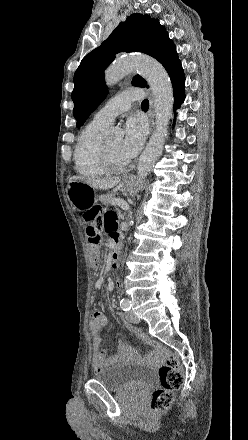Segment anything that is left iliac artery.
I'll return each instance as SVG.
<instances>
[{
  "instance_id": "obj_1",
  "label": "left iliac artery",
  "mask_w": 248,
  "mask_h": 440,
  "mask_svg": "<svg viewBox=\"0 0 248 440\" xmlns=\"http://www.w3.org/2000/svg\"><path fill=\"white\" fill-rule=\"evenodd\" d=\"M120 306H121L122 310L128 311L131 308V301L127 298H123L120 301Z\"/></svg>"
}]
</instances>
